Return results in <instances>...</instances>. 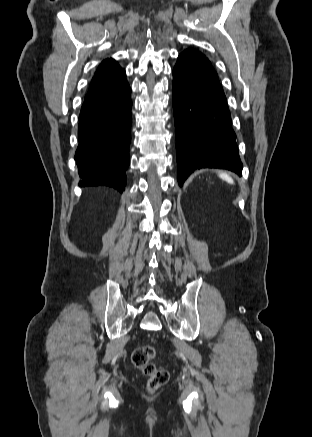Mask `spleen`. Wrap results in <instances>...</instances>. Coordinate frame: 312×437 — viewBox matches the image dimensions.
Wrapping results in <instances>:
<instances>
[{
  "mask_svg": "<svg viewBox=\"0 0 312 437\" xmlns=\"http://www.w3.org/2000/svg\"><path fill=\"white\" fill-rule=\"evenodd\" d=\"M219 176L221 179L225 180L226 182H228L230 184L234 183L233 179L227 173H221Z\"/></svg>",
  "mask_w": 312,
  "mask_h": 437,
  "instance_id": "1",
  "label": "spleen"
}]
</instances>
